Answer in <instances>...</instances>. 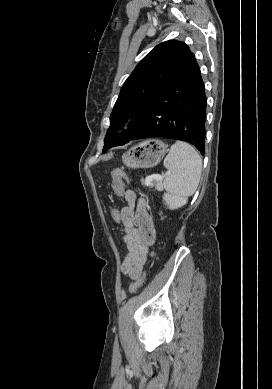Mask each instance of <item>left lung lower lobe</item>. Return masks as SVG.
<instances>
[{"label": "left lung lower lobe", "mask_w": 272, "mask_h": 389, "mask_svg": "<svg viewBox=\"0 0 272 389\" xmlns=\"http://www.w3.org/2000/svg\"><path fill=\"white\" fill-rule=\"evenodd\" d=\"M206 100L200 68L194 58L157 95L129 141L149 137L182 140L204 155Z\"/></svg>", "instance_id": "0a47b994"}]
</instances>
